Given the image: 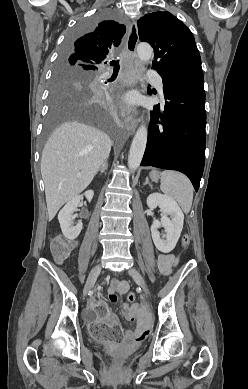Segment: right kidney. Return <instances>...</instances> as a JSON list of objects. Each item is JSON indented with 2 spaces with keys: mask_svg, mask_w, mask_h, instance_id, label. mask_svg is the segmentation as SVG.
Instances as JSON below:
<instances>
[{
  "mask_svg": "<svg viewBox=\"0 0 248 389\" xmlns=\"http://www.w3.org/2000/svg\"><path fill=\"white\" fill-rule=\"evenodd\" d=\"M84 195L88 201H91L94 196V192L92 190H89L86 191ZM80 200V196H75L67 202V204L61 209L58 214V220L62 233L69 240H74L75 238H77L83 227L81 221H79L74 226L73 221L71 220V216L77 210V207L80 204Z\"/></svg>",
  "mask_w": 248,
  "mask_h": 389,
  "instance_id": "right-kidney-1",
  "label": "right kidney"
}]
</instances>
